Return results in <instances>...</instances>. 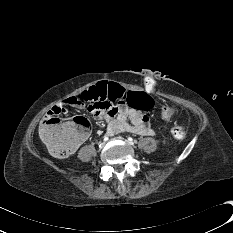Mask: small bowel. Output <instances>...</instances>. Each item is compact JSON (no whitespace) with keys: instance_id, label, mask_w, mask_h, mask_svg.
Segmentation results:
<instances>
[{"instance_id":"small-bowel-1","label":"small bowel","mask_w":233,"mask_h":233,"mask_svg":"<svg viewBox=\"0 0 233 233\" xmlns=\"http://www.w3.org/2000/svg\"><path fill=\"white\" fill-rule=\"evenodd\" d=\"M109 103L110 101L107 99L105 102L92 103L86 107V104L78 102L76 97H70L64 100L60 106L52 108L48 112V116L63 112L67 107L86 108L87 112L93 113L95 119L107 122V132L111 135L120 132H129L140 136L154 135V130L150 126L147 116L135 108L123 106L125 104L123 101H120L117 105L114 102L110 105ZM105 104L107 106H104Z\"/></svg>"}]
</instances>
